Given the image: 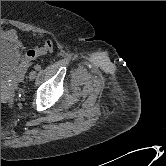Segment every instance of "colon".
<instances>
[{
    "label": "colon",
    "instance_id": "colon-1",
    "mask_svg": "<svg viewBox=\"0 0 166 166\" xmlns=\"http://www.w3.org/2000/svg\"><path fill=\"white\" fill-rule=\"evenodd\" d=\"M54 49V43L51 40H46L41 47L31 49L26 53V60L31 61L39 56L51 52Z\"/></svg>",
    "mask_w": 166,
    "mask_h": 166
}]
</instances>
